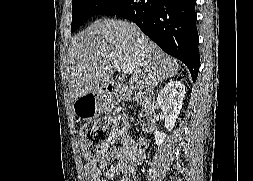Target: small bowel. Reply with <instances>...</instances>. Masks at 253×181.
Instances as JSON below:
<instances>
[{
  "mask_svg": "<svg viewBox=\"0 0 253 181\" xmlns=\"http://www.w3.org/2000/svg\"><path fill=\"white\" fill-rule=\"evenodd\" d=\"M121 147L102 155L99 159L85 165V173L89 181H128L126 176L135 174L136 166L145 158L146 142L135 141L130 134H124L120 140ZM115 160L114 165L110 161ZM120 175L123 177L119 178Z\"/></svg>",
  "mask_w": 253,
  "mask_h": 181,
  "instance_id": "c3829d8e",
  "label": "small bowel"
}]
</instances>
